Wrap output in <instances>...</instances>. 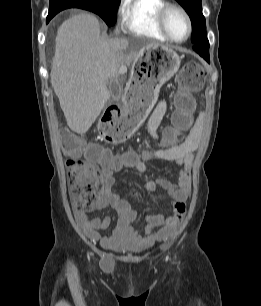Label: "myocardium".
<instances>
[{"label":"myocardium","instance_id":"f54148a6","mask_svg":"<svg viewBox=\"0 0 261 306\" xmlns=\"http://www.w3.org/2000/svg\"><path fill=\"white\" fill-rule=\"evenodd\" d=\"M172 10L178 11L184 17V19L186 21L187 34L181 40L174 39L171 36V34H170V32H169V30L167 28V25H166V17L168 15V13L170 11H172ZM157 23H158V26H159L161 32L171 42H174V43H183L186 40H188L189 37L191 36V33H192V22H191L190 16L187 13V11L182 6H180L178 4L167 3L163 8H161V10L159 11L158 16H157Z\"/></svg>","mask_w":261,"mask_h":306}]
</instances>
